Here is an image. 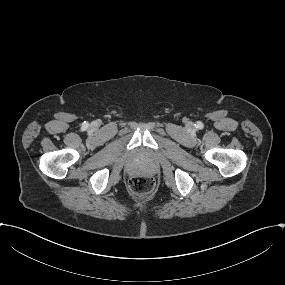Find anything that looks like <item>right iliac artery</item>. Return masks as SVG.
Returning <instances> with one entry per match:
<instances>
[{"mask_svg": "<svg viewBox=\"0 0 285 285\" xmlns=\"http://www.w3.org/2000/svg\"><path fill=\"white\" fill-rule=\"evenodd\" d=\"M84 127H88V124H85Z\"/></svg>", "mask_w": 285, "mask_h": 285, "instance_id": "obj_1", "label": "right iliac artery"}]
</instances>
